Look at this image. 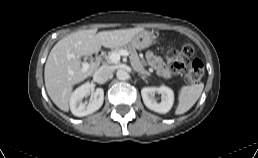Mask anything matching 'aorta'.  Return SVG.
<instances>
[{"label":"aorta","mask_w":258,"mask_h":158,"mask_svg":"<svg viewBox=\"0 0 258 158\" xmlns=\"http://www.w3.org/2000/svg\"><path fill=\"white\" fill-rule=\"evenodd\" d=\"M128 76H129V74L127 73V71H125L123 69L118 70L116 73V77L119 80H126V79H128Z\"/></svg>","instance_id":"1"}]
</instances>
